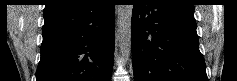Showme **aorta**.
Instances as JSON below:
<instances>
[{
	"label": "aorta",
	"instance_id": "obj_1",
	"mask_svg": "<svg viewBox=\"0 0 237 81\" xmlns=\"http://www.w3.org/2000/svg\"><path fill=\"white\" fill-rule=\"evenodd\" d=\"M133 5H118L117 15V38L120 54L123 61L127 62L131 54V22Z\"/></svg>",
	"mask_w": 237,
	"mask_h": 81
}]
</instances>
